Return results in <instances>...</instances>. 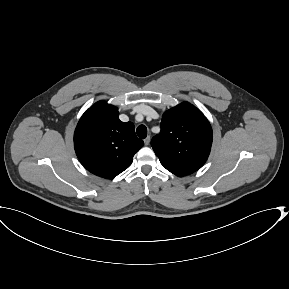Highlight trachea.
I'll list each match as a JSON object with an SVG mask.
<instances>
[{
    "label": "trachea",
    "instance_id": "trachea-1",
    "mask_svg": "<svg viewBox=\"0 0 289 289\" xmlns=\"http://www.w3.org/2000/svg\"><path fill=\"white\" fill-rule=\"evenodd\" d=\"M137 135L140 138H146L147 137V128L144 125H140L137 127Z\"/></svg>",
    "mask_w": 289,
    "mask_h": 289
}]
</instances>
